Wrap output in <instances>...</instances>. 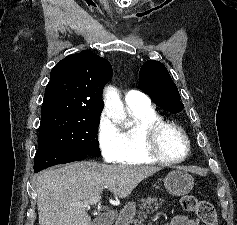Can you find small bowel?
<instances>
[{
    "label": "small bowel",
    "mask_w": 237,
    "mask_h": 225,
    "mask_svg": "<svg viewBox=\"0 0 237 225\" xmlns=\"http://www.w3.org/2000/svg\"><path fill=\"white\" fill-rule=\"evenodd\" d=\"M169 225H199L198 221L187 216L178 215L171 219Z\"/></svg>",
    "instance_id": "small-bowel-1"
}]
</instances>
